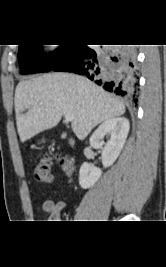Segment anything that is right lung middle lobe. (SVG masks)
I'll return each mask as SVG.
<instances>
[{"mask_svg": "<svg viewBox=\"0 0 166 267\" xmlns=\"http://www.w3.org/2000/svg\"><path fill=\"white\" fill-rule=\"evenodd\" d=\"M71 45H61L52 56L43 55L41 45H19V65L22 74L50 71L66 55Z\"/></svg>", "mask_w": 166, "mask_h": 267, "instance_id": "1", "label": "right lung middle lobe"}]
</instances>
